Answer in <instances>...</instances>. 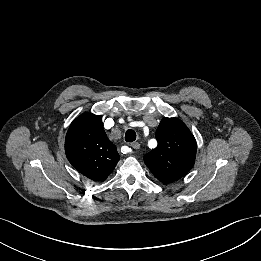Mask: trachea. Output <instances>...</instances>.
<instances>
[{
  "label": "trachea",
  "mask_w": 261,
  "mask_h": 261,
  "mask_svg": "<svg viewBox=\"0 0 261 261\" xmlns=\"http://www.w3.org/2000/svg\"><path fill=\"white\" fill-rule=\"evenodd\" d=\"M136 140V133L134 130L129 129L125 133V141L126 142H133Z\"/></svg>",
  "instance_id": "1"
}]
</instances>
